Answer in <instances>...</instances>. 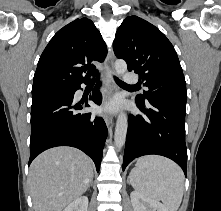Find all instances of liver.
<instances>
[{
    "mask_svg": "<svg viewBox=\"0 0 221 211\" xmlns=\"http://www.w3.org/2000/svg\"><path fill=\"white\" fill-rule=\"evenodd\" d=\"M92 160L71 147H56L37 156L30 166L29 185L35 211H62L88 189Z\"/></svg>",
    "mask_w": 221,
    "mask_h": 211,
    "instance_id": "6515ba94",
    "label": "liver"
}]
</instances>
